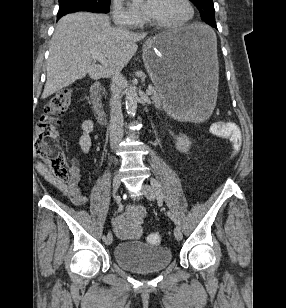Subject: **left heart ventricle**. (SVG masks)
<instances>
[{
  "label": "left heart ventricle",
  "mask_w": 286,
  "mask_h": 308,
  "mask_svg": "<svg viewBox=\"0 0 286 308\" xmlns=\"http://www.w3.org/2000/svg\"><path fill=\"white\" fill-rule=\"evenodd\" d=\"M189 16L183 0H156L150 18L162 23H179Z\"/></svg>",
  "instance_id": "1"
}]
</instances>
